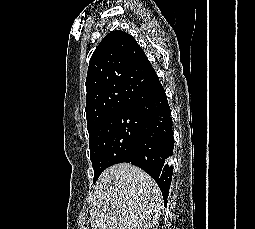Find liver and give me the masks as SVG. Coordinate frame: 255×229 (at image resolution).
<instances>
[{
    "label": "liver",
    "instance_id": "1",
    "mask_svg": "<svg viewBox=\"0 0 255 229\" xmlns=\"http://www.w3.org/2000/svg\"><path fill=\"white\" fill-rule=\"evenodd\" d=\"M162 204V194L148 174L129 163L116 164L96 182L91 227L153 229Z\"/></svg>",
    "mask_w": 255,
    "mask_h": 229
}]
</instances>
